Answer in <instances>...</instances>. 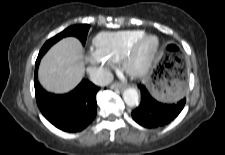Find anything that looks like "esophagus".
Listing matches in <instances>:
<instances>
[{
  "label": "esophagus",
  "mask_w": 225,
  "mask_h": 155,
  "mask_svg": "<svg viewBox=\"0 0 225 155\" xmlns=\"http://www.w3.org/2000/svg\"><path fill=\"white\" fill-rule=\"evenodd\" d=\"M124 85L122 83L116 82L111 85V89H123Z\"/></svg>",
  "instance_id": "obj_1"
}]
</instances>
